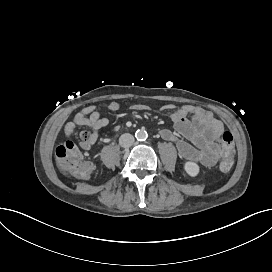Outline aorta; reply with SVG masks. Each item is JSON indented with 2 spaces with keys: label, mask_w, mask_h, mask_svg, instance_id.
Segmentation results:
<instances>
[{
  "label": "aorta",
  "mask_w": 272,
  "mask_h": 272,
  "mask_svg": "<svg viewBox=\"0 0 272 272\" xmlns=\"http://www.w3.org/2000/svg\"><path fill=\"white\" fill-rule=\"evenodd\" d=\"M135 137L138 141H144L148 137L147 131L144 129L137 130L135 133Z\"/></svg>",
  "instance_id": "762f6f07"
}]
</instances>
